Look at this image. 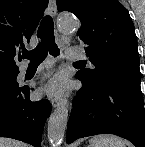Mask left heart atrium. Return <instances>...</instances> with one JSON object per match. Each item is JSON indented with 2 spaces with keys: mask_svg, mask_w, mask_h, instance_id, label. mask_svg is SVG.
I'll use <instances>...</instances> for the list:
<instances>
[{
  "mask_svg": "<svg viewBox=\"0 0 145 147\" xmlns=\"http://www.w3.org/2000/svg\"><path fill=\"white\" fill-rule=\"evenodd\" d=\"M65 89L64 81L60 77L53 78L49 83L40 88L39 94L51 97H59Z\"/></svg>",
  "mask_w": 145,
  "mask_h": 147,
  "instance_id": "39dd6f15",
  "label": "left heart atrium"
}]
</instances>
